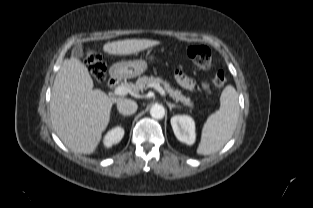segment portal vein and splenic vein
<instances>
[{
  "mask_svg": "<svg viewBox=\"0 0 313 208\" xmlns=\"http://www.w3.org/2000/svg\"><path fill=\"white\" fill-rule=\"evenodd\" d=\"M150 87L155 88L162 96H166L165 90L159 84H150ZM129 92L128 88L125 86H117L114 89L116 95L124 96Z\"/></svg>",
  "mask_w": 313,
  "mask_h": 208,
  "instance_id": "18ae733b",
  "label": "portal vein and splenic vein"
}]
</instances>
